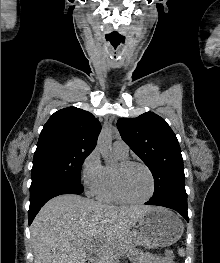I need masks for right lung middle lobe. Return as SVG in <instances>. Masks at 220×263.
I'll return each instance as SVG.
<instances>
[{
    "instance_id": "dd1d6c3e",
    "label": "right lung middle lobe",
    "mask_w": 220,
    "mask_h": 263,
    "mask_svg": "<svg viewBox=\"0 0 220 263\" xmlns=\"http://www.w3.org/2000/svg\"><path fill=\"white\" fill-rule=\"evenodd\" d=\"M92 151L55 148L35 152L32 180L39 177H57L80 183L81 167Z\"/></svg>"
}]
</instances>
